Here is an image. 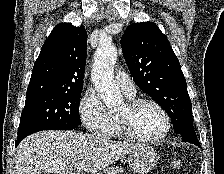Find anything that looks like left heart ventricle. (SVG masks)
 Returning <instances> with one entry per match:
<instances>
[{"instance_id": "left-heart-ventricle-1", "label": "left heart ventricle", "mask_w": 224, "mask_h": 174, "mask_svg": "<svg viewBox=\"0 0 224 174\" xmlns=\"http://www.w3.org/2000/svg\"><path fill=\"white\" fill-rule=\"evenodd\" d=\"M126 112L123 104L116 114L123 115ZM129 122L132 129L143 137H155L164 129V119L160 112L150 104H142L130 115Z\"/></svg>"}]
</instances>
